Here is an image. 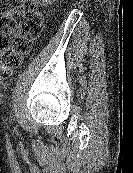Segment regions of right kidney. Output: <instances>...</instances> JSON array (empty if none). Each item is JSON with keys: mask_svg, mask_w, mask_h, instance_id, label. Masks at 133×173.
Segmentation results:
<instances>
[{"mask_svg": "<svg viewBox=\"0 0 133 173\" xmlns=\"http://www.w3.org/2000/svg\"><path fill=\"white\" fill-rule=\"evenodd\" d=\"M40 1H42L43 2V4L44 5H46V4H51V3H53L54 1H56V0H40Z\"/></svg>", "mask_w": 133, "mask_h": 173, "instance_id": "right-kidney-1", "label": "right kidney"}]
</instances>
